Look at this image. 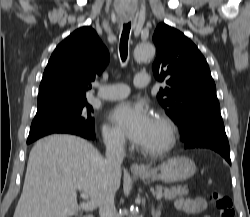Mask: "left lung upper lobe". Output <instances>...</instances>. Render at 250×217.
<instances>
[{
	"mask_svg": "<svg viewBox=\"0 0 250 217\" xmlns=\"http://www.w3.org/2000/svg\"><path fill=\"white\" fill-rule=\"evenodd\" d=\"M153 41L157 48L154 76L168 84L157 98L180 133L194 120L220 113L209 66L195 44L165 23L157 26Z\"/></svg>",
	"mask_w": 250,
	"mask_h": 217,
	"instance_id": "1",
	"label": "left lung upper lobe"
}]
</instances>
